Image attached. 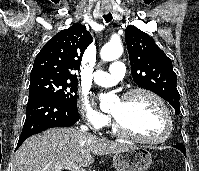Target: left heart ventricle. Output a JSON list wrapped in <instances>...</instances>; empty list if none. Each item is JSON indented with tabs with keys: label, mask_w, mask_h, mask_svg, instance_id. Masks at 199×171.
Wrapping results in <instances>:
<instances>
[{
	"label": "left heart ventricle",
	"mask_w": 199,
	"mask_h": 171,
	"mask_svg": "<svg viewBox=\"0 0 199 171\" xmlns=\"http://www.w3.org/2000/svg\"><path fill=\"white\" fill-rule=\"evenodd\" d=\"M130 131L148 138H160L166 132V119L158 104L149 96L138 94L127 100H118L111 108Z\"/></svg>",
	"instance_id": "1"
}]
</instances>
